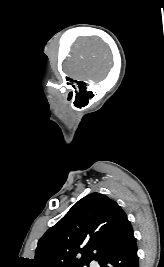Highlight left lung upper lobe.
I'll return each instance as SVG.
<instances>
[{
	"label": "left lung upper lobe",
	"instance_id": "1",
	"mask_svg": "<svg viewBox=\"0 0 164 267\" xmlns=\"http://www.w3.org/2000/svg\"><path fill=\"white\" fill-rule=\"evenodd\" d=\"M128 222L112 199L91 193L40 238L33 267H85L100 261L105 250ZM82 254L80 259L75 256Z\"/></svg>",
	"mask_w": 164,
	"mask_h": 267
}]
</instances>
